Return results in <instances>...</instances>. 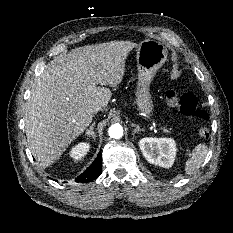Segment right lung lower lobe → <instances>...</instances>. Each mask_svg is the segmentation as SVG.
Masks as SVG:
<instances>
[{
	"label": "right lung lower lobe",
	"instance_id": "1",
	"mask_svg": "<svg viewBox=\"0 0 233 233\" xmlns=\"http://www.w3.org/2000/svg\"><path fill=\"white\" fill-rule=\"evenodd\" d=\"M102 172L101 153L98 154L92 165L88 167L81 175L76 179V182H91L95 180Z\"/></svg>",
	"mask_w": 233,
	"mask_h": 233
}]
</instances>
